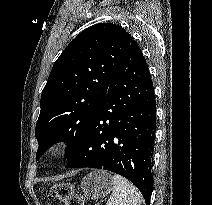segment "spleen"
<instances>
[{"instance_id":"spleen-1","label":"spleen","mask_w":212,"mask_h":205,"mask_svg":"<svg viewBox=\"0 0 212 205\" xmlns=\"http://www.w3.org/2000/svg\"><path fill=\"white\" fill-rule=\"evenodd\" d=\"M111 180L113 193L106 205H141L140 193L131 182L118 174Z\"/></svg>"}]
</instances>
